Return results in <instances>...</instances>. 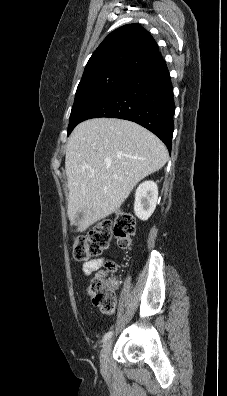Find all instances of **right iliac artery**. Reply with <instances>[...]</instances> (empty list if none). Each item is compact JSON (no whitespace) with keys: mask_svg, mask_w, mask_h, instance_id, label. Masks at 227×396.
<instances>
[{"mask_svg":"<svg viewBox=\"0 0 227 396\" xmlns=\"http://www.w3.org/2000/svg\"><path fill=\"white\" fill-rule=\"evenodd\" d=\"M112 336V331L107 332L103 338V343H105Z\"/></svg>","mask_w":227,"mask_h":396,"instance_id":"1","label":"right iliac artery"}]
</instances>
